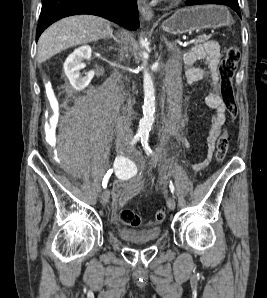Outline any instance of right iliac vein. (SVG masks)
Listing matches in <instances>:
<instances>
[{
	"label": "right iliac vein",
	"mask_w": 267,
	"mask_h": 298,
	"mask_svg": "<svg viewBox=\"0 0 267 298\" xmlns=\"http://www.w3.org/2000/svg\"><path fill=\"white\" fill-rule=\"evenodd\" d=\"M125 150V145H118L117 148H116V151L117 153L119 154L120 152L124 151ZM109 198H110V192L108 189H105L103 192H102V195H101V202L102 204H107L108 201H109Z\"/></svg>",
	"instance_id": "right-iliac-vein-1"
}]
</instances>
